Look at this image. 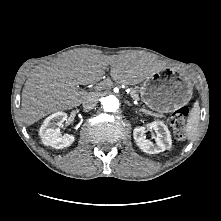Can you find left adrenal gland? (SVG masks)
<instances>
[{"instance_id":"a2214340","label":"left adrenal gland","mask_w":221,"mask_h":221,"mask_svg":"<svg viewBox=\"0 0 221 221\" xmlns=\"http://www.w3.org/2000/svg\"><path fill=\"white\" fill-rule=\"evenodd\" d=\"M127 103H128L129 105H131L129 101H127Z\"/></svg>"}]
</instances>
